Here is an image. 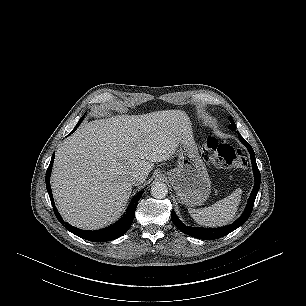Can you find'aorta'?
<instances>
[{
	"label": "aorta",
	"mask_w": 306,
	"mask_h": 306,
	"mask_svg": "<svg viewBox=\"0 0 306 306\" xmlns=\"http://www.w3.org/2000/svg\"><path fill=\"white\" fill-rule=\"evenodd\" d=\"M168 194V188L163 182H154L151 186V195L157 199H163Z\"/></svg>",
	"instance_id": "762f6f07"
}]
</instances>
